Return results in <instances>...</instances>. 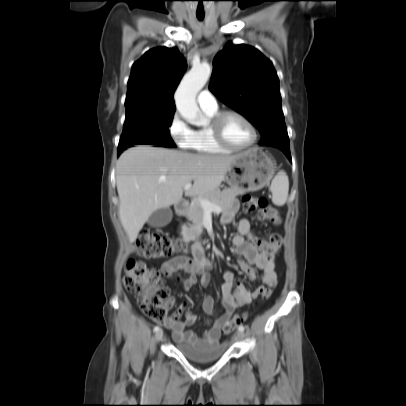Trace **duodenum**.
<instances>
[{"instance_id":"410a0bca","label":"duodenum","mask_w":406,"mask_h":406,"mask_svg":"<svg viewBox=\"0 0 406 406\" xmlns=\"http://www.w3.org/2000/svg\"><path fill=\"white\" fill-rule=\"evenodd\" d=\"M189 207V202L187 200H179L175 203V210L178 213L185 212Z\"/></svg>"}]
</instances>
